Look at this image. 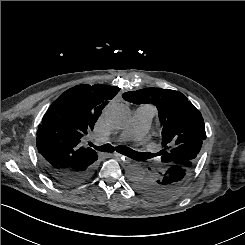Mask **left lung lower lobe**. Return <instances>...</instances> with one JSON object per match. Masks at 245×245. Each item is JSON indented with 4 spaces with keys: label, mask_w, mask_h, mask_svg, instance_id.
Returning a JSON list of instances; mask_svg holds the SVG:
<instances>
[{
    "label": "left lung lower lobe",
    "mask_w": 245,
    "mask_h": 245,
    "mask_svg": "<svg viewBox=\"0 0 245 245\" xmlns=\"http://www.w3.org/2000/svg\"><path fill=\"white\" fill-rule=\"evenodd\" d=\"M195 161L180 159L165 163L157 174H145L134 181L135 189L141 194L163 199L177 192L190 176Z\"/></svg>",
    "instance_id": "0a47b994"
}]
</instances>
